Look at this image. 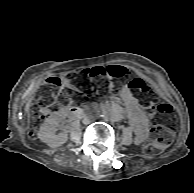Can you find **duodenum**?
I'll return each mask as SVG.
<instances>
[{
    "label": "duodenum",
    "instance_id": "410a0bca",
    "mask_svg": "<svg viewBox=\"0 0 194 193\" xmlns=\"http://www.w3.org/2000/svg\"><path fill=\"white\" fill-rule=\"evenodd\" d=\"M64 113L68 116V117H79L82 114V111L74 106H70L64 109Z\"/></svg>",
    "mask_w": 194,
    "mask_h": 193
}]
</instances>
